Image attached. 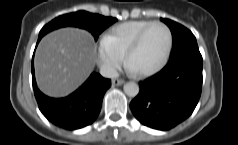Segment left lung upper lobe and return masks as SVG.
Here are the masks:
<instances>
[{"label":"left lung upper lobe","instance_id":"5c2ea615","mask_svg":"<svg viewBox=\"0 0 238 145\" xmlns=\"http://www.w3.org/2000/svg\"><path fill=\"white\" fill-rule=\"evenodd\" d=\"M161 21L169 26L173 35V48L170 58L185 50L198 48L196 38L190 30L169 19L161 18Z\"/></svg>","mask_w":238,"mask_h":145}]
</instances>
